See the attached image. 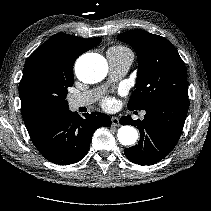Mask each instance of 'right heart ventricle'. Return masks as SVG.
<instances>
[{
  "label": "right heart ventricle",
  "mask_w": 211,
  "mask_h": 211,
  "mask_svg": "<svg viewBox=\"0 0 211 211\" xmlns=\"http://www.w3.org/2000/svg\"><path fill=\"white\" fill-rule=\"evenodd\" d=\"M109 50L117 52V53H128V52H131L128 48H126L124 46H121V45L113 46Z\"/></svg>",
  "instance_id": "right-heart-ventricle-1"
}]
</instances>
